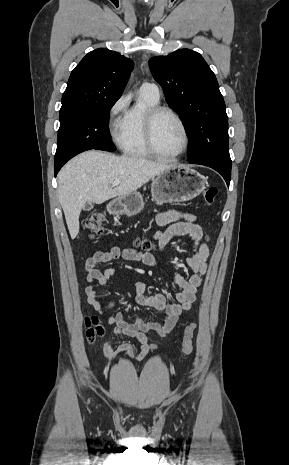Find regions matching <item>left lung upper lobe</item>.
Segmentation results:
<instances>
[{
  "mask_svg": "<svg viewBox=\"0 0 289 465\" xmlns=\"http://www.w3.org/2000/svg\"><path fill=\"white\" fill-rule=\"evenodd\" d=\"M153 77L169 106L181 117L189 139L188 160L216 159L231 163L228 117L215 74L190 49L149 60Z\"/></svg>",
  "mask_w": 289,
  "mask_h": 465,
  "instance_id": "left-lung-upper-lobe-1",
  "label": "left lung upper lobe"
}]
</instances>
